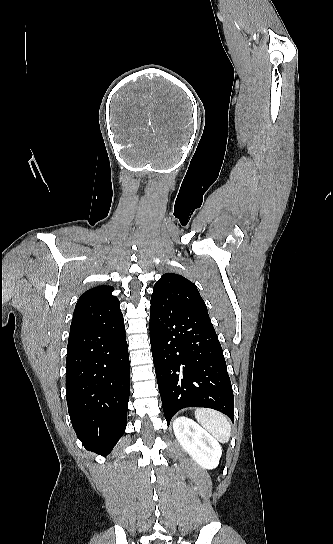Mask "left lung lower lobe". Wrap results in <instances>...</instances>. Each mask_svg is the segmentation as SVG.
I'll return each instance as SVG.
<instances>
[{
  "instance_id": "1",
  "label": "left lung lower lobe",
  "mask_w": 333,
  "mask_h": 544,
  "mask_svg": "<svg viewBox=\"0 0 333 544\" xmlns=\"http://www.w3.org/2000/svg\"><path fill=\"white\" fill-rule=\"evenodd\" d=\"M150 342L168 425L186 407L212 408L234 421L231 381L207 311L152 301Z\"/></svg>"
}]
</instances>
